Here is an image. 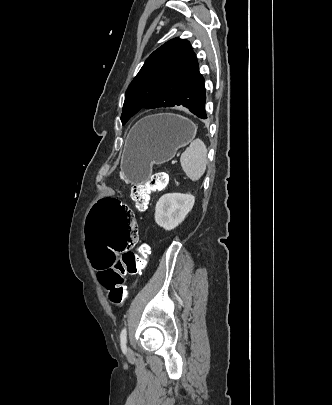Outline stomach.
Returning <instances> with one entry per match:
<instances>
[{"label": "stomach", "instance_id": "0dacf381", "mask_svg": "<svg viewBox=\"0 0 332 405\" xmlns=\"http://www.w3.org/2000/svg\"><path fill=\"white\" fill-rule=\"evenodd\" d=\"M197 126L175 114H157L142 118L130 130L121 157V172L133 185L145 183L153 164L174 158L179 148L192 143Z\"/></svg>", "mask_w": 332, "mask_h": 405}]
</instances>
